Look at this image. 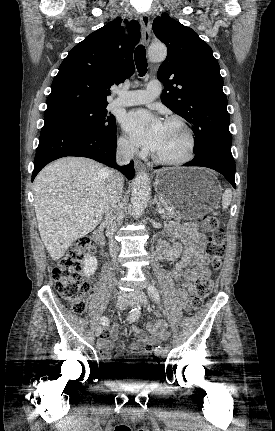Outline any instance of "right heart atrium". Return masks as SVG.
Masks as SVG:
<instances>
[{"mask_svg": "<svg viewBox=\"0 0 275 431\" xmlns=\"http://www.w3.org/2000/svg\"><path fill=\"white\" fill-rule=\"evenodd\" d=\"M119 151L124 155H132L135 153V147L131 141L124 135L120 136L118 139Z\"/></svg>", "mask_w": 275, "mask_h": 431, "instance_id": "right-heart-atrium-1", "label": "right heart atrium"}]
</instances>
